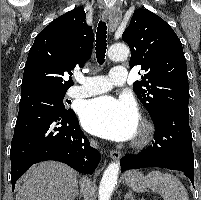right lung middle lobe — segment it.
Here are the masks:
<instances>
[{
    "instance_id": "1",
    "label": "right lung middle lobe",
    "mask_w": 201,
    "mask_h": 200,
    "mask_svg": "<svg viewBox=\"0 0 201 200\" xmlns=\"http://www.w3.org/2000/svg\"><path fill=\"white\" fill-rule=\"evenodd\" d=\"M66 92H41L21 95L19 111L33 107L47 106L60 111H67L63 104Z\"/></svg>"
}]
</instances>
